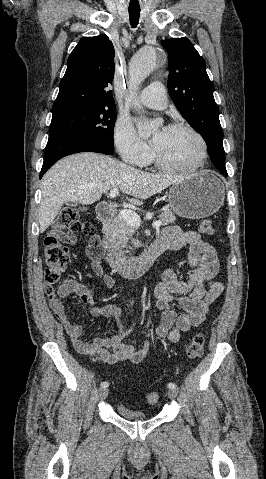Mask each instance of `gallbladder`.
I'll return each mask as SVG.
<instances>
[{
	"label": "gallbladder",
	"instance_id": "gallbladder-1",
	"mask_svg": "<svg viewBox=\"0 0 266 479\" xmlns=\"http://www.w3.org/2000/svg\"><path fill=\"white\" fill-rule=\"evenodd\" d=\"M66 205H68V206H77V202H75V201H67V202H66Z\"/></svg>",
	"mask_w": 266,
	"mask_h": 479
}]
</instances>
